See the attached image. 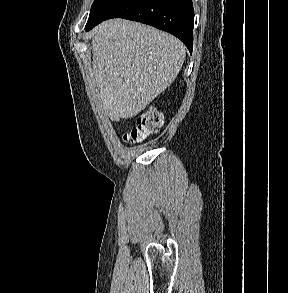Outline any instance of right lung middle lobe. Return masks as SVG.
Wrapping results in <instances>:
<instances>
[{
  "label": "right lung middle lobe",
  "mask_w": 288,
  "mask_h": 293,
  "mask_svg": "<svg viewBox=\"0 0 288 293\" xmlns=\"http://www.w3.org/2000/svg\"><path fill=\"white\" fill-rule=\"evenodd\" d=\"M125 0H94L85 30L105 20Z\"/></svg>",
  "instance_id": "right-lung-middle-lobe-1"
}]
</instances>
